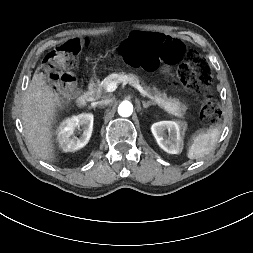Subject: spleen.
Returning <instances> with one entry per match:
<instances>
[{
    "label": "spleen",
    "mask_w": 253,
    "mask_h": 253,
    "mask_svg": "<svg viewBox=\"0 0 253 253\" xmlns=\"http://www.w3.org/2000/svg\"><path fill=\"white\" fill-rule=\"evenodd\" d=\"M221 134V127L217 125L206 132L197 134L188 148L189 159H201L209 154L215 147Z\"/></svg>",
    "instance_id": "spleen-1"
}]
</instances>
